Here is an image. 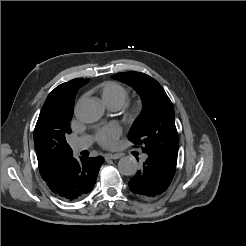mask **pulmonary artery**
I'll return each instance as SVG.
<instances>
[{
  "label": "pulmonary artery",
  "mask_w": 246,
  "mask_h": 246,
  "mask_svg": "<svg viewBox=\"0 0 246 246\" xmlns=\"http://www.w3.org/2000/svg\"><path fill=\"white\" fill-rule=\"evenodd\" d=\"M112 109L116 110L118 109V107H113ZM91 143H92V140L89 136H82V137L74 139L71 143V147L75 152H79L84 149H87L91 145ZM146 158H147V155L144 154L142 156V159L145 160Z\"/></svg>",
  "instance_id": "pulmonary-artery-1"
}]
</instances>
